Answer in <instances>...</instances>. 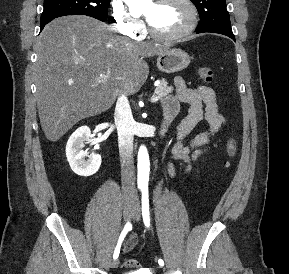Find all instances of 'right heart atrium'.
Masks as SVG:
<instances>
[{"label": "right heart atrium", "instance_id": "right-heart-atrium-1", "mask_svg": "<svg viewBox=\"0 0 289 274\" xmlns=\"http://www.w3.org/2000/svg\"><path fill=\"white\" fill-rule=\"evenodd\" d=\"M111 13L116 29L133 39L139 38L143 31V22L133 17L126 9L122 0H112Z\"/></svg>", "mask_w": 289, "mask_h": 274}]
</instances>
